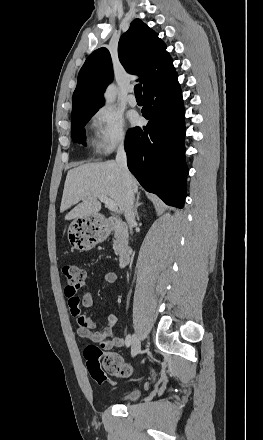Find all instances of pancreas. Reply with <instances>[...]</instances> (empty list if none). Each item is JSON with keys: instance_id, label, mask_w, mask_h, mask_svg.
<instances>
[{"instance_id": "pancreas-1", "label": "pancreas", "mask_w": 263, "mask_h": 440, "mask_svg": "<svg viewBox=\"0 0 263 440\" xmlns=\"http://www.w3.org/2000/svg\"><path fill=\"white\" fill-rule=\"evenodd\" d=\"M113 249L115 254H119L120 253V232L116 231L115 236H114V240H113Z\"/></svg>"}]
</instances>
